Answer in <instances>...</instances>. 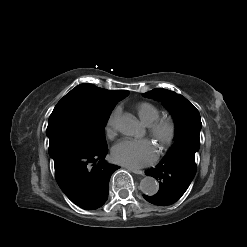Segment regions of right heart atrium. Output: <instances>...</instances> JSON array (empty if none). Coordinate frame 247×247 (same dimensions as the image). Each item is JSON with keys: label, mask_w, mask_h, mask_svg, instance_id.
<instances>
[{"label": "right heart atrium", "mask_w": 247, "mask_h": 247, "mask_svg": "<svg viewBox=\"0 0 247 247\" xmlns=\"http://www.w3.org/2000/svg\"><path fill=\"white\" fill-rule=\"evenodd\" d=\"M120 113V108L116 107L109 115L106 125H105V134L109 139L114 138L117 131V119Z\"/></svg>", "instance_id": "right-heart-atrium-1"}]
</instances>
